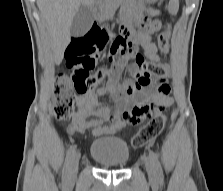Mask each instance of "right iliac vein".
I'll list each match as a JSON object with an SVG mask.
<instances>
[{
	"label": "right iliac vein",
	"mask_w": 223,
	"mask_h": 191,
	"mask_svg": "<svg viewBox=\"0 0 223 191\" xmlns=\"http://www.w3.org/2000/svg\"><path fill=\"white\" fill-rule=\"evenodd\" d=\"M79 160H80V154L76 153L73 156L71 167H70V177L75 178L78 172V166H79Z\"/></svg>",
	"instance_id": "right-iliac-vein-1"
}]
</instances>
